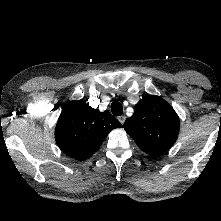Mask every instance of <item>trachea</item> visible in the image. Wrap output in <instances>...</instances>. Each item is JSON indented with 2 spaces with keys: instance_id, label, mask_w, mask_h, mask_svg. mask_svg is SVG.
I'll return each mask as SVG.
<instances>
[{
  "instance_id": "1",
  "label": "trachea",
  "mask_w": 221,
  "mask_h": 221,
  "mask_svg": "<svg viewBox=\"0 0 221 221\" xmlns=\"http://www.w3.org/2000/svg\"><path fill=\"white\" fill-rule=\"evenodd\" d=\"M111 111H112V114L115 116L122 115L123 114V107H122L121 103H119L118 101L112 102Z\"/></svg>"
}]
</instances>
